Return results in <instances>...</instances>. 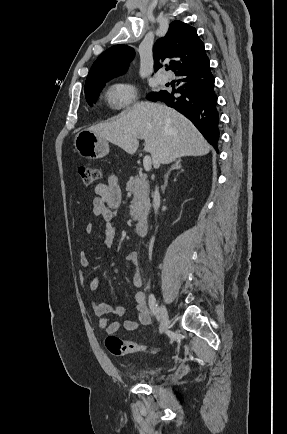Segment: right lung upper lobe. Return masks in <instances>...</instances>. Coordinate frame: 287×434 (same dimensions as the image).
Listing matches in <instances>:
<instances>
[{
  "label": "right lung upper lobe",
  "instance_id": "right-lung-upper-lobe-1",
  "mask_svg": "<svg viewBox=\"0 0 287 434\" xmlns=\"http://www.w3.org/2000/svg\"><path fill=\"white\" fill-rule=\"evenodd\" d=\"M153 51L155 70L162 66L160 61L171 58L170 67L177 73L194 61L205 48L195 28L181 21H173L167 34L156 41ZM134 54V49L127 45L110 47L93 63L85 85L125 73Z\"/></svg>",
  "mask_w": 287,
  "mask_h": 434
}]
</instances>
